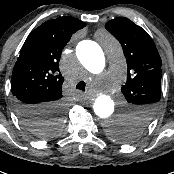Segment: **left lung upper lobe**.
Here are the masks:
<instances>
[{"mask_svg":"<svg viewBox=\"0 0 174 174\" xmlns=\"http://www.w3.org/2000/svg\"><path fill=\"white\" fill-rule=\"evenodd\" d=\"M106 29L120 42L128 66L121 91L141 128L152 118L161 97V58L147 32L125 17L110 20ZM115 135V134H114ZM119 138L126 140V135Z\"/></svg>","mask_w":174,"mask_h":174,"instance_id":"1","label":"left lung upper lobe"}]
</instances>
